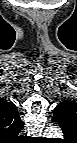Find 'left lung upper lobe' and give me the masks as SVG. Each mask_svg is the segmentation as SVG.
Masks as SVG:
<instances>
[{
  "instance_id": "5c2ea615",
  "label": "left lung upper lobe",
  "mask_w": 77,
  "mask_h": 143,
  "mask_svg": "<svg viewBox=\"0 0 77 143\" xmlns=\"http://www.w3.org/2000/svg\"><path fill=\"white\" fill-rule=\"evenodd\" d=\"M61 103H66V104H71V105H73L74 106V115H73V117H72V121H76V116H77V114H76V108H77V106H76V104L73 102V101H70V100H65V101H63V102H61ZM60 103V104H61ZM55 110V109H54ZM72 124V123H71ZM61 128H62V130H63V132H64V136L67 138L71 133H70V131H71V129H72V127H71V125H61L60 126Z\"/></svg>"
}]
</instances>
